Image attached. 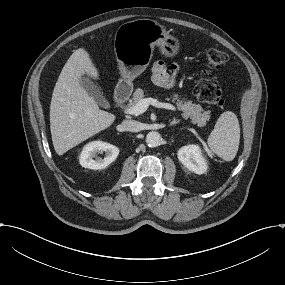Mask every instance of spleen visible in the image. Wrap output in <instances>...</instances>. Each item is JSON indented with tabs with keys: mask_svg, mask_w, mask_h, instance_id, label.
Instances as JSON below:
<instances>
[{
	"mask_svg": "<svg viewBox=\"0 0 285 285\" xmlns=\"http://www.w3.org/2000/svg\"><path fill=\"white\" fill-rule=\"evenodd\" d=\"M240 126L237 116L226 111L218 118L207 143L211 150L225 161H232L239 148Z\"/></svg>",
	"mask_w": 285,
	"mask_h": 285,
	"instance_id": "obj_1",
	"label": "spleen"
}]
</instances>
